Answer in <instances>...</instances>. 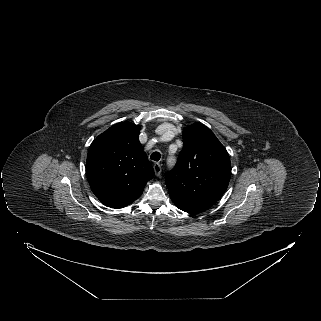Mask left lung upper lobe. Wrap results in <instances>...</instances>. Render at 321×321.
I'll use <instances>...</instances> for the list:
<instances>
[{
	"instance_id": "obj_1",
	"label": "left lung upper lobe",
	"mask_w": 321,
	"mask_h": 321,
	"mask_svg": "<svg viewBox=\"0 0 321 321\" xmlns=\"http://www.w3.org/2000/svg\"><path fill=\"white\" fill-rule=\"evenodd\" d=\"M184 147L177 164L166 175L171 199L202 207H211L227 189L230 158L214 133L202 124L183 130Z\"/></svg>"
}]
</instances>
